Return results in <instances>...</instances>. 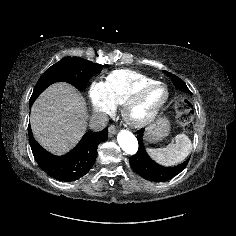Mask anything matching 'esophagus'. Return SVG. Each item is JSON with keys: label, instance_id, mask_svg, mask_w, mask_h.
I'll return each instance as SVG.
<instances>
[{"label": "esophagus", "instance_id": "esophagus-1", "mask_svg": "<svg viewBox=\"0 0 236 236\" xmlns=\"http://www.w3.org/2000/svg\"><path fill=\"white\" fill-rule=\"evenodd\" d=\"M108 132H109V136L112 137L115 133H116V127L111 125L109 128H108Z\"/></svg>", "mask_w": 236, "mask_h": 236}]
</instances>
